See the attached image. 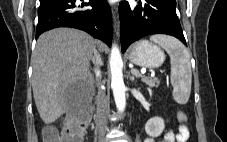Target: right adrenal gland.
Masks as SVG:
<instances>
[{"label":"right adrenal gland","mask_w":227,"mask_h":142,"mask_svg":"<svg viewBox=\"0 0 227 142\" xmlns=\"http://www.w3.org/2000/svg\"><path fill=\"white\" fill-rule=\"evenodd\" d=\"M91 60L95 67H100L102 65L101 55L97 50L94 51V56L91 58Z\"/></svg>","instance_id":"2a0ac1e0"}]
</instances>
